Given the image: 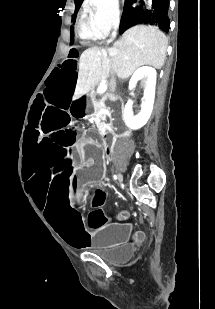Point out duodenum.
<instances>
[{"instance_id": "410a0bca", "label": "duodenum", "mask_w": 215, "mask_h": 309, "mask_svg": "<svg viewBox=\"0 0 215 309\" xmlns=\"http://www.w3.org/2000/svg\"><path fill=\"white\" fill-rule=\"evenodd\" d=\"M101 126H102V128H103V127H104V124L102 123V125H101Z\"/></svg>"}]
</instances>
